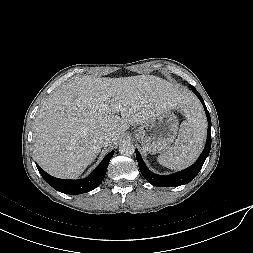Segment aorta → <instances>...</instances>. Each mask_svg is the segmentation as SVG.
<instances>
[{
	"label": "aorta",
	"mask_w": 253,
	"mask_h": 253,
	"mask_svg": "<svg viewBox=\"0 0 253 253\" xmlns=\"http://www.w3.org/2000/svg\"><path fill=\"white\" fill-rule=\"evenodd\" d=\"M135 152V146L130 141H122L119 145V153L121 155L130 156Z\"/></svg>",
	"instance_id": "1"
}]
</instances>
